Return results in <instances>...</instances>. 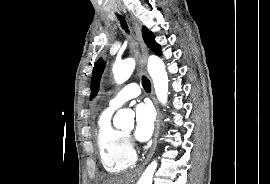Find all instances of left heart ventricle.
Returning <instances> with one entry per match:
<instances>
[{"instance_id":"left-heart-ventricle-1","label":"left heart ventricle","mask_w":270,"mask_h":184,"mask_svg":"<svg viewBox=\"0 0 270 184\" xmlns=\"http://www.w3.org/2000/svg\"><path fill=\"white\" fill-rule=\"evenodd\" d=\"M131 132V130H127V133H130Z\"/></svg>"}]
</instances>
